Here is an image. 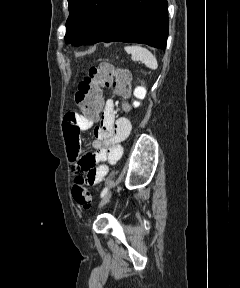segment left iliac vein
Masks as SVG:
<instances>
[{
	"label": "left iliac vein",
	"mask_w": 240,
	"mask_h": 288,
	"mask_svg": "<svg viewBox=\"0 0 240 288\" xmlns=\"http://www.w3.org/2000/svg\"><path fill=\"white\" fill-rule=\"evenodd\" d=\"M112 192L109 191L105 194V196L102 198V200L100 201L98 208L103 207L111 198Z\"/></svg>",
	"instance_id": "1"
}]
</instances>
